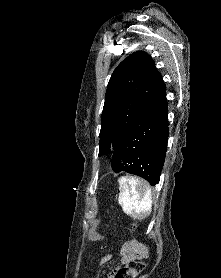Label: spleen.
I'll use <instances>...</instances> for the list:
<instances>
[{"label":"spleen","mask_w":221,"mask_h":278,"mask_svg":"<svg viewBox=\"0 0 221 278\" xmlns=\"http://www.w3.org/2000/svg\"><path fill=\"white\" fill-rule=\"evenodd\" d=\"M118 203L127 215L134 219H145L152 211V194L149 186L135 177H121L119 180Z\"/></svg>","instance_id":"spleen-1"}]
</instances>
